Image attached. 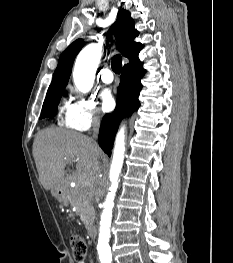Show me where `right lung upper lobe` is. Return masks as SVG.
I'll use <instances>...</instances> for the list:
<instances>
[{
	"label": "right lung upper lobe",
	"instance_id": "1",
	"mask_svg": "<svg viewBox=\"0 0 233 263\" xmlns=\"http://www.w3.org/2000/svg\"><path fill=\"white\" fill-rule=\"evenodd\" d=\"M112 33L116 35L118 49L124 57L129 59V64L140 61L138 54L143 45L134 41L139 32L135 29L134 22L128 11L124 9L119 11L117 20L108 32V36L110 37ZM83 45L84 41L78 39L70 44L61 54L48 92L66 87L74 59Z\"/></svg>",
	"mask_w": 233,
	"mask_h": 263
}]
</instances>
